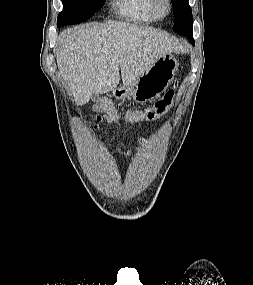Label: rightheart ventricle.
Masks as SVG:
<instances>
[{
	"label": "right heart ventricle",
	"instance_id": "obj_1",
	"mask_svg": "<svg viewBox=\"0 0 253 285\" xmlns=\"http://www.w3.org/2000/svg\"><path fill=\"white\" fill-rule=\"evenodd\" d=\"M116 8L121 15L131 21L139 23L155 21L148 8V0H117Z\"/></svg>",
	"mask_w": 253,
	"mask_h": 285
}]
</instances>
